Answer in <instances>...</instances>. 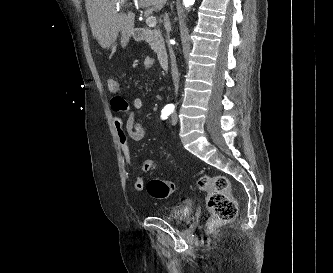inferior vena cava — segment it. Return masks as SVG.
<instances>
[{"label": "inferior vena cava", "instance_id": "obj_1", "mask_svg": "<svg viewBox=\"0 0 333 273\" xmlns=\"http://www.w3.org/2000/svg\"><path fill=\"white\" fill-rule=\"evenodd\" d=\"M164 27L166 29L167 36H169V32L171 29V23H170V19H169L167 13H165V15H164ZM168 47H169V54H170V59H171V74H172V79H173V83H174V87H175V93L177 95L178 88H179V73H178L175 54L172 50V47L170 45H168Z\"/></svg>", "mask_w": 333, "mask_h": 273}]
</instances>
